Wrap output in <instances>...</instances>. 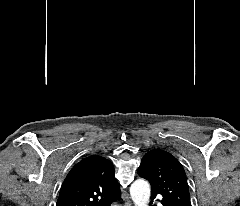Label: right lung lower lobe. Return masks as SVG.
I'll use <instances>...</instances> for the list:
<instances>
[{
  "label": "right lung lower lobe",
  "mask_w": 240,
  "mask_h": 206,
  "mask_svg": "<svg viewBox=\"0 0 240 206\" xmlns=\"http://www.w3.org/2000/svg\"><path fill=\"white\" fill-rule=\"evenodd\" d=\"M119 198H120V193H118L117 195L107 199L102 204H100V206H110L112 202H114L115 200H117Z\"/></svg>",
  "instance_id": "right-lung-lower-lobe-1"
}]
</instances>
